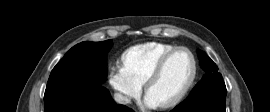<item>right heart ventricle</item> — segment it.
<instances>
[{
  "label": "right heart ventricle",
  "mask_w": 270,
  "mask_h": 112,
  "mask_svg": "<svg viewBox=\"0 0 270 112\" xmlns=\"http://www.w3.org/2000/svg\"><path fill=\"white\" fill-rule=\"evenodd\" d=\"M175 47L155 41L139 44L125 51L122 56L123 64L135 80L144 84L159 59Z\"/></svg>",
  "instance_id": "right-heart-ventricle-1"
}]
</instances>
